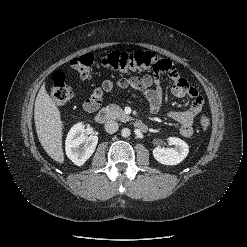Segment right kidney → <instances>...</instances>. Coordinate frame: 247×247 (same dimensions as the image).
Listing matches in <instances>:
<instances>
[{"label": "right kidney", "instance_id": "obj_1", "mask_svg": "<svg viewBox=\"0 0 247 247\" xmlns=\"http://www.w3.org/2000/svg\"><path fill=\"white\" fill-rule=\"evenodd\" d=\"M85 131L82 123L75 124L65 142L66 155L77 166H82L91 157L98 143V136H86Z\"/></svg>", "mask_w": 247, "mask_h": 247}]
</instances>
